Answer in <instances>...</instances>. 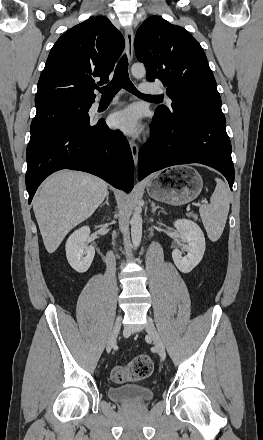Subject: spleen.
<instances>
[{
  "label": "spleen",
  "mask_w": 263,
  "mask_h": 440,
  "mask_svg": "<svg viewBox=\"0 0 263 440\" xmlns=\"http://www.w3.org/2000/svg\"><path fill=\"white\" fill-rule=\"evenodd\" d=\"M216 188L210 198V204L201 205L200 217L212 242L217 241L226 224L230 206V190L223 180L216 178Z\"/></svg>",
  "instance_id": "3e777b00"
}]
</instances>
